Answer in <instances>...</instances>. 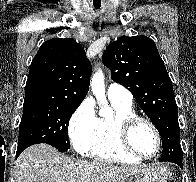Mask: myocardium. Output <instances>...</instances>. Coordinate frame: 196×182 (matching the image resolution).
Here are the masks:
<instances>
[{"label": "myocardium", "mask_w": 196, "mask_h": 182, "mask_svg": "<svg viewBox=\"0 0 196 182\" xmlns=\"http://www.w3.org/2000/svg\"><path fill=\"white\" fill-rule=\"evenodd\" d=\"M146 123L154 132L157 140L156 151L152 155H143L136 151L131 144V132L138 123ZM117 139L121 149L130 156L139 160H150L157 157L162 149V137L156 124L149 118L139 115L121 117L116 122Z\"/></svg>", "instance_id": "f54148a6"}]
</instances>
